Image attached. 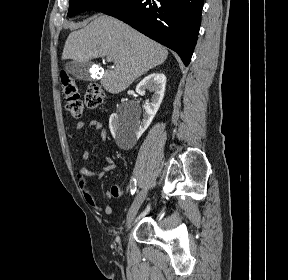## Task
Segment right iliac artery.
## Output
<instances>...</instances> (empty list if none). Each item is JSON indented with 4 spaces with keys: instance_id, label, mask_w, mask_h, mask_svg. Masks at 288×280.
Returning a JSON list of instances; mask_svg holds the SVG:
<instances>
[{
    "instance_id": "82829eb1",
    "label": "right iliac artery",
    "mask_w": 288,
    "mask_h": 280,
    "mask_svg": "<svg viewBox=\"0 0 288 280\" xmlns=\"http://www.w3.org/2000/svg\"><path fill=\"white\" fill-rule=\"evenodd\" d=\"M136 190H137V183H136V180L133 179V180H131V182H130V192H131V195H134L135 192H136Z\"/></svg>"
}]
</instances>
